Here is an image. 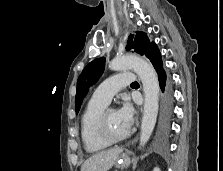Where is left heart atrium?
I'll return each instance as SVG.
<instances>
[{"label":"left heart atrium","mask_w":223,"mask_h":171,"mask_svg":"<svg viewBox=\"0 0 223 171\" xmlns=\"http://www.w3.org/2000/svg\"><path fill=\"white\" fill-rule=\"evenodd\" d=\"M117 115L123 125L129 130L134 121V110L132 106L128 103H125L118 111Z\"/></svg>","instance_id":"obj_1"}]
</instances>
